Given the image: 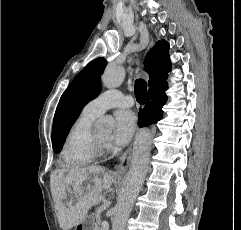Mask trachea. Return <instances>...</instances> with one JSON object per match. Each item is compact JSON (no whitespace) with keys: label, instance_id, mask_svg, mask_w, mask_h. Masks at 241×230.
<instances>
[{"label":"trachea","instance_id":"trachea-1","mask_svg":"<svg viewBox=\"0 0 241 230\" xmlns=\"http://www.w3.org/2000/svg\"><path fill=\"white\" fill-rule=\"evenodd\" d=\"M147 93V83L143 79L135 81L134 94L139 103H144Z\"/></svg>","mask_w":241,"mask_h":230}]
</instances>
